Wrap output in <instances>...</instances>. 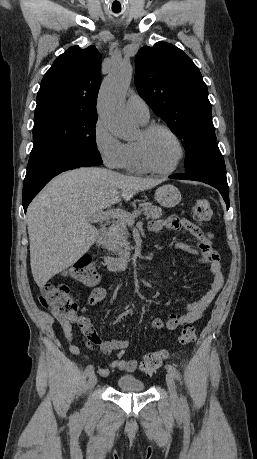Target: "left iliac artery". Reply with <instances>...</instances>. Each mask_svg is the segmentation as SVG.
Listing matches in <instances>:
<instances>
[{
	"label": "left iliac artery",
	"mask_w": 257,
	"mask_h": 459,
	"mask_svg": "<svg viewBox=\"0 0 257 459\" xmlns=\"http://www.w3.org/2000/svg\"><path fill=\"white\" fill-rule=\"evenodd\" d=\"M166 368H167L168 372L171 373L174 378H176L177 380L180 379L179 372L173 365L168 364V365H166ZM181 407H182V410H183L184 413H188L189 412V406H188L187 400H186V398L184 396L181 397Z\"/></svg>",
	"instance_id": "left-iliac-artery-1"
}]
</instances>
